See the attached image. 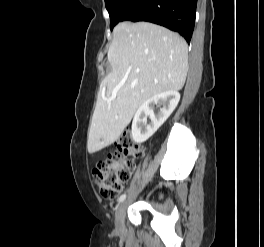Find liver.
Listing matches in <instances>:
<instances>
[{
	"instance_id": "6515ba94",
	"label": "liver",
	"mask_w": 264,
	"mask_h": 247,
	"mask_svg": "<svg viewBox=\"0 0 264 247\" xmlns=\"http://www.w3.org/2000/svg\"><path fill=\"white\" fill-rule=\"evenodd\" d=\"M108 61L112 69L100 86L88 134L89 153L113 144L149 98L183 88L188 45L164 27L121 22L113 30Z\"/></svg>"
}]
</instances>
